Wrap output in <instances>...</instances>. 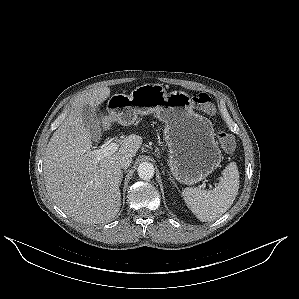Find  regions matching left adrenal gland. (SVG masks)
Segmentation results:
<instances>
[{
    "instance_id": "a2214340",
    "label": "left adrenal gland",
    "mask_w": 299,
    "mask_h": 299,
    "mask_svg": "<svg viewBox=\"0 0 299 299\" xmlns=\"http://www.w3.org/2000/svg\"><path fill=\"white\" fill-rule=\"evenodd\" d=\"M170 181L174 184L175 187H177V185L175 184V182L173 181L172 177L169 178Z\"/></svg>"
}]
</instances>
